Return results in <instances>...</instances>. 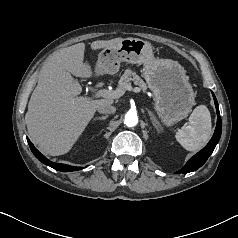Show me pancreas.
<instances>
[{
    "instance_id": "cf45deb5",
    "label": "pancreas",
    "mask_w": 238,
    "mask_h": 238,
    "mask_svg": "<svg viewBox=\"0 0 238 238\" xmlns=\"http://www.w3.org/2000/svg\"><path fill=\"white\" fill-rule=\"evenodd\" d=\"M130 81H133L135 85L139 86V88L143 91L147 90L146 83L133 71L127 69L125 73L120 77L118 82L117 90H125V87L130 84Z\"/></svg>"
}]
</instances>
